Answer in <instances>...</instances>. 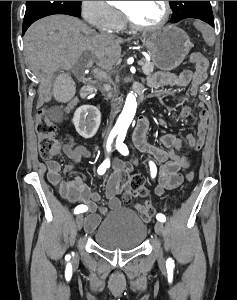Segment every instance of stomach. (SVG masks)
Masks as SVG:
<instances>
[{"mask_svg":"<svg viewBox=\"0 0 237 300\" xmlns=\"http://www.w3.org/2000/svg\"><path fill=\"white\" fill-rule=\"evenodd\" d=\"M135 39L142 41L154 65L161 71L177 69L193 47L187 33L175 25H167L151 33H138Z\"/></svg>","mask_w":237,"mask_h":300,"instance_id":"1","label":"stomach"}]
</instances>
